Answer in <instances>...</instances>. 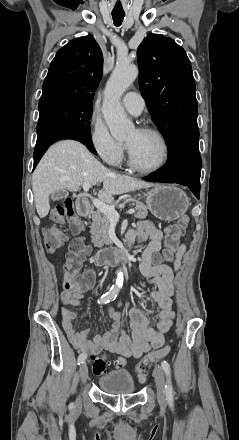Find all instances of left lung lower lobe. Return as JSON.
I'll list each match as a JSON object with an SVG mask.
<instances>
[{
    "instance_id": "1",
    "label": "left lung lower lobe",
    "mask_w": 239,
    "mask_h": 440,
    "mask_svg": "<svg viewBox=\"0 0 239 440\" xmlns=\"http://www.w3.org/2000/svg\"><path fill=\"white\" fill-rule=\"evenodd\" d=\"M198 139V128L185 129L174 134L168 142L169 155L165 167L143 179L150 182L186 185L199 199L201 158Z\"/></svg>"
}]
</instances>
